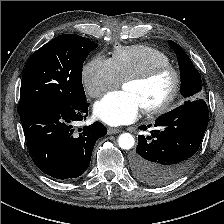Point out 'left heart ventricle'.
Instances as JSON below:
<instances>
[{"label":"left heart ventricle","mask_w":224,"mask_h":224,"mask_svg":"<svg viewBox=\"0 0 224 224\" xmlns=\"http://www.w3.org/2000/svg\"><path fill=\"white\" fill-rule=\"evenodd\" d=\"M172 82L171 74L166 72L145 83H126L123 88L138 97L143 109L163 101L171 90Z\"/></svg>","instance_id":"left-heart-ventricle-1"}]
</instances>
